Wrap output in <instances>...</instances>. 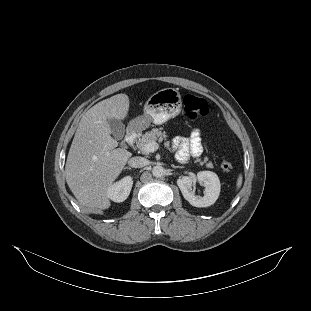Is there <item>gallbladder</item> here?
Here are the masks:
<instances>
[{
    "mask_svg": "<svg viewBox=\"0 0 311 311\" xmlns=\"http://www.w3.org/2000/svg\"><path fill=\"white\" fill-rule=\"evenodd\" d=\"M113 136L116 140L121 141L125 134V126L122 122L117 120L110 119L109 120ZM123 146H126V143H123Z\"/></svg>",
    "mask_w": 311,
    "mask_h": 311,
    "instance_id": "obj_1",
    "label": "gallbladder"
}]
</instances>
